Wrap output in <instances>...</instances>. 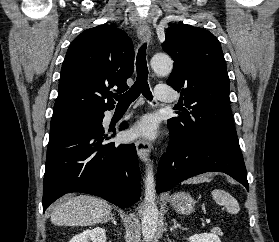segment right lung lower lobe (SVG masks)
Wrapping results in <instances>:
<instances>
[{"label":"right lung lower lobe","mask_w":279,"mask_h":242,"mask_svg":"<svg viewBox=\"0 0 279 242\" xmlns=\"http://www.w3.org/2000/svg\"><path fill=\"white\" fill-rule=\"evenodd\" d=\"M103 118L101 113L90 121V128L49 140L43 211L70 192L96 195L119 207H130L139 200L140 171L135 145L108 142L111 137L104 132ZM126 127V123L121 124V129Z\"/></svg>","instance_id":"1"}]
</instances>
